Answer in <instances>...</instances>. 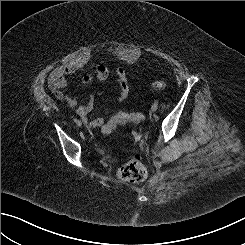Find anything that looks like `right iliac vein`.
Here are the masks:
<instances>
[{
    "label": "right iliac vein",
    "instance_id": "63e3f726",
    "mask_svg": "<svg viewBox=\"0 0 245 245\" xmlns=\"http://www.w3.org/2000/svg\"><path fill=\"white\" fill-rule=\"evenodd\" d=\"M77 125H78V126H82V122L79 121V122L77 123Z\"/></svg>",
    "mask_w": 245,
    "mask_h": 245
}]
</instances>
